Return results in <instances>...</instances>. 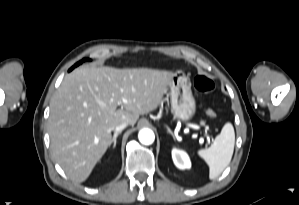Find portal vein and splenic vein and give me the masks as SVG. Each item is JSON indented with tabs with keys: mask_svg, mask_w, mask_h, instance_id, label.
Segmentation results:
<instances>
[{
	"mask_svg": "<svg viewBox=\"0 0 299 205\" xmlns=\"http://www.w3.org/2000/svg\"><path fill=\"white\" fill-rule=\"evenodd\" d=\"M192 127H193V128H196V129L198 128V126H192ZM199 141H200V143H203V142H204V139H203V138H200Z\"/></svg>",
	"mask_w": 299,
	"mask_h": 205,
	"instance_id": "1",
	"label": "portal vein and splenic vein"
}]
</instances>
